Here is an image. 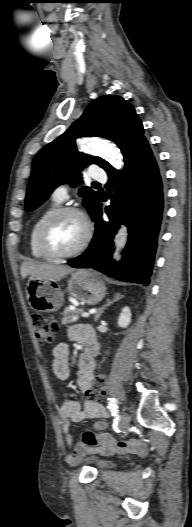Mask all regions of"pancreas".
<instances>
[{
    "label": "pancreas",
    "instance_id": "cf45deb5",
    "mask_svg": "<svg viewBox=\"0 0 192 527\" xmlns=\"http://www.w3.org/2000/svg\"><path fill=\"white\" fill-rule=\"evenodd\" d=\"M83 312V309L80 308V309H76V310H71L70 308H65L64 312H63V319H62V323L63 324H70V323H74V322H77L79 320V316L80 314Z\"/></svg>",
    "mask_w": 192,
    "mask_h": 527
}]
</instances>
